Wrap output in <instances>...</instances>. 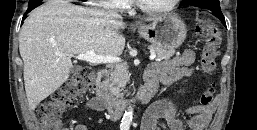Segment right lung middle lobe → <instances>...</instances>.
<instances>
[{
	"instance_id": "right-lung-middle-lobe-1",
	"label": "right lung middle lobe",
	"mask_w": 257,
	"mask_h": 130,
	"mask_svg": "<svg viewBox=\"0 0 257 130\" xmlns=\"http://www.w3.org/2000/svg\"><path fill=\"white\" fill-rule=\"evenodd\" d=\"M35 1H36V0H30V1H29V5L33 4ZM37 2H39V1H37ZM39 3H40V2H39Z\"/></svg>"
}]
</instances>
